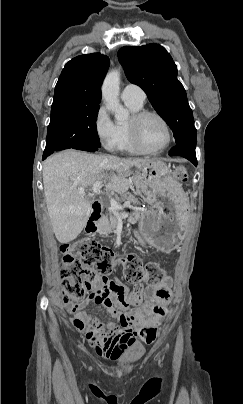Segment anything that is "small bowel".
Returning a JSON list of instances; mask_svg holds the SVG:
<instances>
[{"mask_svg":"<svg viewBox=\"0 0 243 404\" xmlns=\"http://www.w3.org/2000/svg\"><path fill=\"white\" fill-rule=\"evenodd\" d=\"M170 286L171 280L166 278L160 284L146 287L144 290L146 303L135 310L122 313L117 310V305L123 302L125 287L102 278L99 286L85 300L72 306L71 312L75 314V318L70 319V325L84 333L99 356L109 359L119 358L138 338L148 344L154 342L157 328L166 314L167 304L171 299ZM90 302L104 304L118 325L111 321L93 319L84 311Z\"/></svg>","mask_w":243,"mask_h":404,"instance_id":"1","label":"small bowel"}]
</instances>
